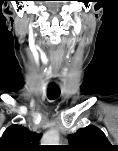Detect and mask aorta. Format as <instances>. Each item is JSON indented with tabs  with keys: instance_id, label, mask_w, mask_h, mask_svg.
I'll list each match as a JSON object with an SVG mask.
<instances>
[{
	"instance_id": "1",
	"label": "aorta",
	"mask_w": 118,
	"mask_h": 151,
	"mask_svg": "<svg viewBox=\"0 0 118 151\" xmlns=\"http://www.w3.org/2000/svg\"><path fill=\"white\" fill-rule=\"evenodd\" d=\"M59 133L56 130L47 131L42 139V145H58L59 143Z\"/></svg>"
}]
</instances>
